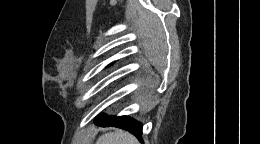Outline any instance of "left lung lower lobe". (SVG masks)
Returning a JSON list of instances; mask_svg holds the SVG:
<instances>
[{"mask_svg":"<svg viewBox=\"0 0 260 144\" xmlns=\"http://www.w3.org/2000/svg\"><path fill=\"white\" fill-rule=\"evenodd\" d=\"M95 124L102 127L112 126L125 129L143 142L142 124L128 116H100L95 120Z\"/></svg>","mask_w":260,"mask_h":144,"instance_id":"0a47b994","label":"left lung lower lobe"}]
</instances>
